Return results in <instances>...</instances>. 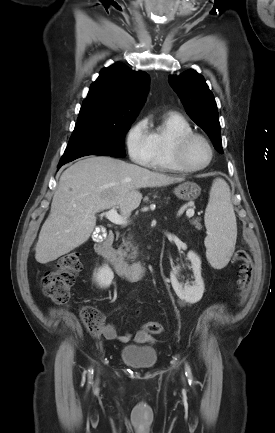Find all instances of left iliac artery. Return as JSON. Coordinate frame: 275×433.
<instances>
[{"mask_svg": "<svg viewBox=\"0 0 275 433\" xmlns=\"http://www.w3.org/2000/svg\"><path fill=\"white\" fill-rule=\"evenodd\" d=\"M185 370H186V376L188 377L189 381H192V373H191V369L190 367L186 364L185 365Z\"/></svg>", "mask_w": 275, "mask_h": 433, "instance_id": "left-iliac-artery-1", "label": "left iliac artery"}]
</instances>
